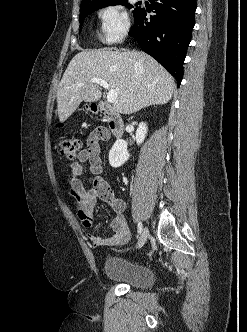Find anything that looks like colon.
Segmentation results:
<instances>
[{"mask_svg": "<svg viewBox=\"0 0 247 332\" xmlns=\"http://www.w3.org/2000/svg\"><path fill=\"white\" fill-rule=\"evenodd\" d=\"M92 111L95 112V109L92 108ZM56 148L61 157L73 159L81 148V142L77 138L62 136L58 139ZM82 213H84V210H82Z\"/></svg>", "mask_w": 247, "mask_h": 332, "instance_id": "5ec220e1", "label": "colon"}]
</instances>
